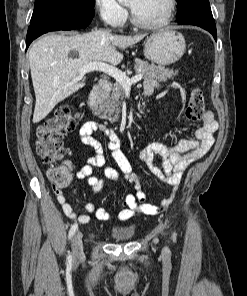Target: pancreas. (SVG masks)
<instances>
[{
  "label": "pancreas",
  "mask_w": 247,
  "mask_h": 296,
  "mask_svg": "<svg viewBox=\"0 0 247 296\" xmlns=\"http://www.w3.org/2000/svg\"><path fill=\"white\" fill-rule=\"evenodd\" d=\"M134 69L136 75L142 74L145 79H156L163 82L173 79V77L178 74V72L173 69L161 65L149 64L147 61H142L140 59L135 60ZM123 98L124 88L121 84L115 83L111 92L103 95L98 101L99 117L108 119L111 123L117 122L119 120L121 112L120 105Z\"/></svg>",
  "instance_id": "obj_1"
}]
</instances>
